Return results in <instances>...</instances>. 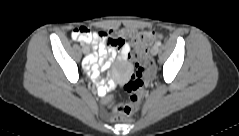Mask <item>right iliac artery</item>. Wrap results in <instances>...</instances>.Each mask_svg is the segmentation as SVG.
Here are the masks:
<instances>
[{
    "label": "right iliac artery",
    "instance_id": "obj_1",
    "mask_svg": "<svg viewBox=\"0 0 239 136\" xmlns=\"http://www.w3.org/2000/svg\"><path fill=\"white\" fill-rule=\"evenodd\" d=\"M85 46V43H81V47H84Z\"/></svg>",
    "mask_w": 239,
    "mask_h": 136
}]
</instances>
